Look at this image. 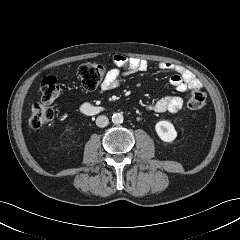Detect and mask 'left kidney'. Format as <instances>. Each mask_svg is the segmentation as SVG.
Segmentation results:
<instances>
[{
    "label": "left kidney",
    "mask_w": 240,
    "mask_h": 240,
    "mask_svg": "<svg viewBox=\"0 0 240 240\" xmlns=\"http://www.w3.org/2000/svg\"><path fill=\"white\" fill-rule=\"evenodd\" d=\"M155 130L160 139L164 142H172L177 137L174 125L166 120L157 122Z\"/></svg>",
    "instance_id": "obj_1"
}]
</instances>
